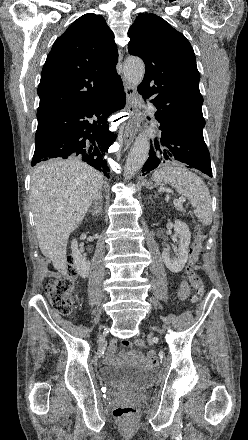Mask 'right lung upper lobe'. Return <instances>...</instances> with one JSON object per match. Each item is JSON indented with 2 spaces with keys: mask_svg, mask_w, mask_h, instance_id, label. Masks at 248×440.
I'll list each match as a JSON object with an SVG mask.
<instances>
[{
  "mask_svg": "<svg viewBox=\"0 0 248 440\" xmlns=\"http://www.w3.org/2000/svg\"><path fill=\"white\" fill-rule=\"evenodd\" d=\"M114 34L101 15L78 18L54 42L43 66L37 119L105 95L120 77Z\"/></svg>",
  "mask_w": 248,
  "mask_h": 440,
  "instance_id": "obj_1",
  "label": "right lung upper lobe"
}]
</instances>
